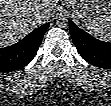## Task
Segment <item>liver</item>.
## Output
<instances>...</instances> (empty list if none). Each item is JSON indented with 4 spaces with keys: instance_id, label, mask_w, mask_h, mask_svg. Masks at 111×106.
I'll list each match as a JSON object with an SVG mask.
<instances>
[{
    "instance_id": "1",
    "label": "liver",
    "mask_w": 111,
    "mask_h": 106,
    "mask_svg": "<svg viewBox=\"0 0 111 106\" xmlns=\"http://www.w3.org/2000/svg\"><path fill=\"white\" fill-rule=\"evenodd\" d=\"M58 0H1L0 45L5 47L24 38L45 23Z\"/></svg>"
}]
</instances>
